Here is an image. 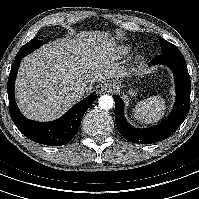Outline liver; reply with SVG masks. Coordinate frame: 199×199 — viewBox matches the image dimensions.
<instances>
[{"instance_id": "1", "label": "liver", "mask_w": 199, "mask_h": 199, "mask_svg": "<svg viewBox=\"0 0 199 199\" xmlns=\"http://www.w3.org/2000/svg\"><path fill=\"white\" fill-rule=\"evenodd\" d=\"M115 39L108 32L83 31L55 40L24 57L15 84L16 100L29 119L49 121L80 100L74 89L126 76L118 62Z\"/></svg>"}]
</instances>
